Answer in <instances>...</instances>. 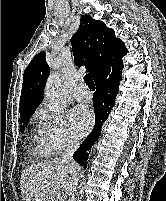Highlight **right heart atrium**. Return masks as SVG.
<instances>
[{"label": "right heart atrium", "mask_w": 166, "mask_h": 201, "mask_svg": "<svg viewBox=\"0 0 166 201\" xmlns=\"http://www.w3.org/2000/svg\"><path fill=\"white\" fill-rule=\"evenodd\" d=\"M37 117L41 120V132L44 141L54 154L78 145V139L73 135L65 116L60 113L40 109Z\"/></svg>", "instance_id": "obj_1"}]
</instances>
